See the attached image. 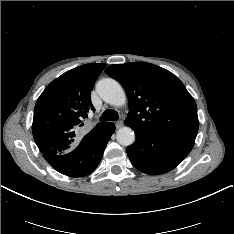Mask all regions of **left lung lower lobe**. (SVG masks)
Masks as SVG:
<instances>
[{"mask_svg":"<svg viewBox=\"0 0 234 234\" xmlns=\"http://www.w3.org/2000/svg\"><path fill=\"white\" fill-rule=\"evenodd\" d=\"M136 141L126 152L133 166L149 174L158 175L174 169L192 150L197 133L180 131H150L130 123Z\"/></svg>","mask_w":234,"mask_h":234,"instance_id":"0a47b994","label":"left lung lower lobe"}]
</instances>
